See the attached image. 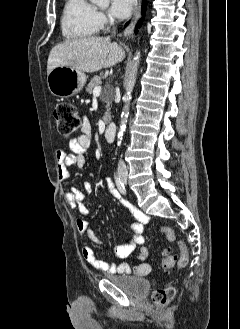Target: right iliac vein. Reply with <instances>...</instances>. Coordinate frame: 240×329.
<instances>
[{"label":"right iliac vein","instance_id":"63e3f726","mask_svg":"<svg viewBox=\"0 0 240 329\" xmlns=\"http://www.w3.org/2000/svg\"><path fill=\"white\" fill-rule=\"evenodd\" d=\"M122 179H123V181H125V182H126V178H125V177H122Z\"/></svg>","mask_w":240,"mask_h":329}]
</instances>
